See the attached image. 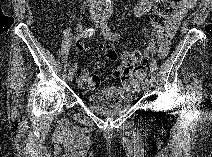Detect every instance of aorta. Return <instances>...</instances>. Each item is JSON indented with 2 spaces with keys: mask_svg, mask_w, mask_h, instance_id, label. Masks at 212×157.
<instances>
[{
  "mask_svg": "<svg viewBox=\"0 0 212 157\" xmlns=\"http://www.w3.org/2000/svg\"><path fill=\"white\" fill-rule=\"evenodd\" d=\"M106 2H109L110 3V0H106Z\"/></svg>",
  "mask_w": 212,
  "mask_h": 157,
  "instance_id": "aorta-1",
  "label": "aorta"
}]
</instances>
